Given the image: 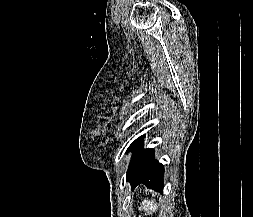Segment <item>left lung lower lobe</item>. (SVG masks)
<instances>
[{
  "instance_id": "1",
  "label": "left lung lower lobe",
  "mask_w": 253,
  "mask_h": 217,
  "mask_svg": "<svg viewBox=\"0 0 253 217\" xmlns=\"http://www.w3.org/2000/svg\"><path fill=\"white\" fill-rule=\"evenodd\" d=\"M143 140V136L137 138L127 149V152H133L127 171V181L131 183L132 189L142 183L148 188L162 192L163 165L155 160L153 149L142 148Z\"/></svg>"
}]
</instances>
